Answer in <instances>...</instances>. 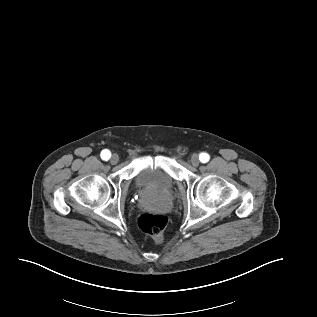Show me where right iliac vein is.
Segmentation results:
<instances>
[{
  "label": "right iliac vein",
  "mask_w": 317,
  "mask_h": 317,
  "mask_svg": "<svg viewBox=\"0 0 317 317\" xmlns=\"http://www.w3.org/2000/svg\"><path fill=\"white\" fill-rule=\"evenodd\" d=\"M118 161H119V157L116 154L112 155V157L110 158V163L113 164V165L117 164Z\"/></svg>",
  "instance_id": "obj_1"
}]
</instances>
